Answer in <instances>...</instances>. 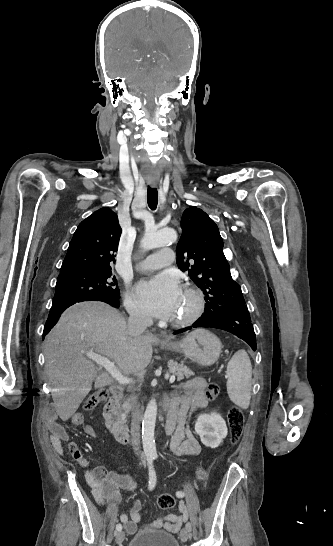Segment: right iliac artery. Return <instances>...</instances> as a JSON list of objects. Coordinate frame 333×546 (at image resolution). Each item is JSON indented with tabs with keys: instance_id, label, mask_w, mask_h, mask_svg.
I'll return each instance as SVG.
<instances>
[{
	"instance_id": "right-iliac-artery-1",
	"label": "right iliac artery",
	"mask_w": 333,
	"mask_h": 546,
	"mask_svg": "<svg viewBox=\"0 0 333 546\" xmlns=\"http://www.w3.org/2000/svg\"><path fill=\"white\" fill-rule=\"evenodd\" d=\"M147 461H148V466H149V487L148 488H149V490H152L155 487V484H156V475H155V472H154V469H153V466H152V458H148ZM116 530L121 531L122 530V525L117 524L116 525Z\"/></svg>"
}]
</instances>
